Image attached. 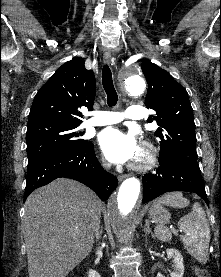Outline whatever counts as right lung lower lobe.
<instances>
[{"label":"right lung lower lobe","instance_id":"right-lung-lower-lobe-1","mask_svg":"<svg viewBox=\"0 0 221 277\" xmlns=\"http://www.w3.org/2000/svg\"><path fill=\"white\" fill-rule=\"evenodd\" d=\"M59 177L85 184L103 201L108 199L118 184L117 178L102 168L95 156L94 145L88 142L67 153L44 158L28 166L24 201L33 190Z\"/></svg>","mask_w":221,"mask_h":277}]
</instances>
